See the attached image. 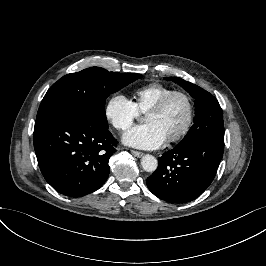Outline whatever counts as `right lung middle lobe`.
<instances>
[{"label":"right lung middle lobe","mask_w":266,"mask_h":266,"mask_svg":"<svg viewBox=\"0 0 266 266\" xmlns=\"http://www.w3.org/2000/svg\"><path fill=\"white\" fill-rule=\"evenodd\" d=\"M140 77V74L108 72L100 67L67 74L47 91L36 120L57 111H69L96 127L107 129L106 98Z\"/></svg>","instance_id":"dd1d6c3e"}]
</instances>
